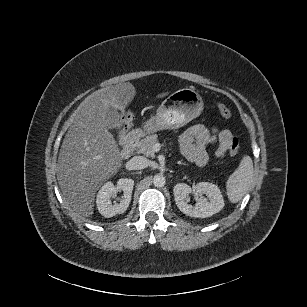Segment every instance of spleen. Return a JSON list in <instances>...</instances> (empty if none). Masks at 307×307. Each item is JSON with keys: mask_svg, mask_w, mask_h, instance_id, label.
Segmentation results:
<instances>
[{"mask_svg": "<svg viewBox=\"0 0 307 307\" xmlns=\"http://www.w3.org/2000/svg\"><path fill=\"white\" fill-rule=\"evenodd\" d=\"M254 186L253 163L250 157H244L227 181V194L231 201H239Z\"/></svg>", "mask_w": 307, "mask_h": 307, "instance_id": "3e777b00", "label": "spleen"}]
</instances>
